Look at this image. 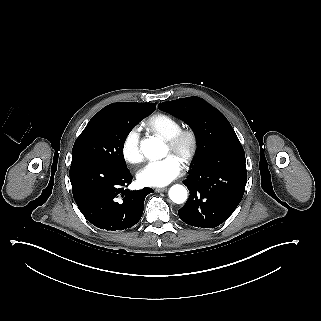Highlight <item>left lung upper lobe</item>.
I'll use <instances>...</instances> for the list:
<instances>
[{"mask_svg": "<svg viewBox=\"0 0 321 321\" xmlns=\"http://www.w3.org/2000/svg\"><path fill=\"white\" fill-rule=\"evenodd\" d=\"M162 111L182 119L194 131L197 141L196 167L221 149L241 145L231 124L216 108L199 97L159 103Z\"/></svg>", "mask_w": 321, "mask_h": 321, "instance_id": "5c2ea615", "label": "left lung upper lobe"}]
</instances>
